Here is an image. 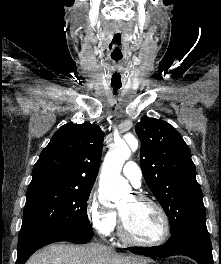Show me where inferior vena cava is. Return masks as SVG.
I'll return each mask as SVG.
<instances>
[{
	"mask_svg": "<svg viewBox=\"0 0 221 264\" xmlns=\"http://www.w3.org/2000/svg\"><path fill=\"white\" fill-rule=\"evenodd\" d=\"M110 251H113L111 247H107Z\"/></svg>",
	"mask_w": 221,
	"mask_h": 264,
	"instance_id": "602c4592",
	"label": "inferior vena cava"
}]
</instances>
